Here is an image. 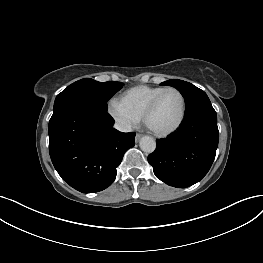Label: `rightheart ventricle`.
<instances>
[{
	"label": "right heart ventricle",
	"instance_id": "e07e8e85",
	"mask_svg": "<svg viewBox=\"0 0 263 263\" xmlns=\"http://www.w3.org/2000/svg\"><path fill=\"white\" fill-rule=\"evenodd\" d=\"M164 88L162 86L140 85L128 89L121 97V102L132 113L143 116V113L150 101Z\"/></svg>",
	"mask_w": 263,
	"mask_h": 263
}]
</instances>
